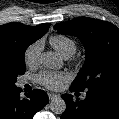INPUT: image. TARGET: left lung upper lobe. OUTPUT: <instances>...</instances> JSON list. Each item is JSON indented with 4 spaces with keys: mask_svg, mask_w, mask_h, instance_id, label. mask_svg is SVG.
Returning <instances> with one entry per match:
<instances>
[{
    "mask_svg": "<svg viewBox=\"0 0 119 119\" xmlns=\"http://www.w3.org/2000/svg\"><path fill=\"white\" fill-rule=\"evenodd\" d=\"M58 33L77 36L85 46L86 61L71 84L78 91L119 93V29L112 23L79 17L54 26Z\"/></svg>",
    "mask_w": 119,
    "mask_h": 119,
    "instance_id": "1",
    "label": "left lung upper lobe"
}]
</instances>
